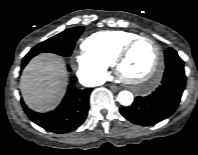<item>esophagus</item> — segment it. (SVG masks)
<instances>
[{"mask_svg":"<svg viewBox=\"0 0 198 155\" xmlns=\"http://www.w3.org/2000/svg\"><path fill=\"white\" fill-rule=\"evenodd\" d=\"M109 88L113 91H119L120 90V87L116 86V85H113V84H109Z\"/></svg>","mask_w":198,"mask_h":155,"instance_id":"obj_1","label":"esophagus"}]
</instances>
